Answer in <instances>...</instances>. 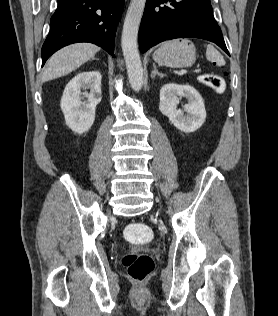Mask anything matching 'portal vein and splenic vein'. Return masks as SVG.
Masks as SVG:
<instances>
[{
    "label": "portal vein and splenic vein",
    "instance_id": "obj_1",
    "mask_svg": "<svg viewBox=\"0 0 278 316\" xmlns=\"http://www.w3.org/2000/svg\"><path fill=\"white\" fill-rule=\"evenodd\" d=\"M187 73V70L186 69H181L179 72H178V75L179 76H182V75H184V74H186Z\"/></svg>",
    "mask_w": 278,
    "mask_h": 316
}]
</instances>
